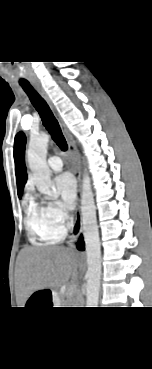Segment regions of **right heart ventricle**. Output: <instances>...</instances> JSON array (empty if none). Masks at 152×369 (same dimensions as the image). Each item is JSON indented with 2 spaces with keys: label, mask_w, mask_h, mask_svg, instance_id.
<instances>
[{
  "label": "right heart ventricle",
  "mask_w": 152,
  "mask_h": 369,
  "mask_svg": "<svg viewBox=\"0 0 152 369\" xmlns=\"http://www.w3.org/2000/svg\"><path fill=\"white\" fill-rule=\"evenodd\" d=\"M25 225L31 241L36 245L56 241L63 235L53 231L41 206L30 197L26 200Z\"/></svg>",
  "instance_id": "obj_1"
}]
</instances>
